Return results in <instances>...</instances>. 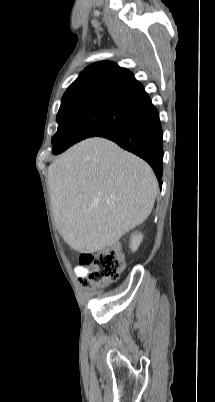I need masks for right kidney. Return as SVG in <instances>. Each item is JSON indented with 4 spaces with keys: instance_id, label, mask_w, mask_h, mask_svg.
<instances>
[{
    "instance_id": "1",
    "label": "right kidney",
    "mask_w": 215,
    "mask_h": 402,
    "mask_svg": "<svg viewBox=\"0 0 215 402\" xmlns=\"http://www.w3.org/2000/svg\"><path fill=\"white\" fill-rule=\"evenodd\" d=\"M142 234L141 233H134L131 237V244L130 248L132 251H136L142 241Z\"/></svg>"
}]
</instances>
